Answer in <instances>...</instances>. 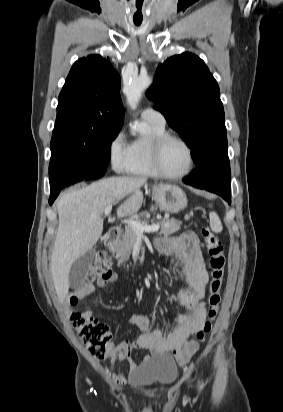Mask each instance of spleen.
<instances>
[{"label": "spleen", "instance_id": "obj_1", "mask_svg": "<svg viewBox=\"0 0 283 412\" xmlns=\"http://www.w3.org/2000/svg\"><path fill=\"white\" fill-rule=\"evenodd\" d=\"M209 218H210V227L212 231L215 233L221 232L223 230V226H222L219 216L213 212V213H210Z\"/></svg>", "mask_w": 283, "mask_h": 412}]
</instances>
